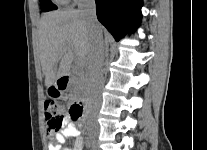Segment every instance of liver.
I'll list each match as a JSON object with an SVG mask.
<instances>
[{
	"mask_svg": "<svg viewBox=\"0 0 207 150\" xmlns=\"http://www.w3.org/2000/svg\"><path fill=\"white\" fill-rule=\"evenodd\" d=\"M102 34V26L99 25ZM39 49L45 85L69 74L72 62L88 64L92 32L79 10H60L43 15L39 24Z\"/></svg>",
	"mask_w": 207,
	"mask_h": 150,
	"instance_id": "liver-1",
	"label": "liver"
}]
</instances>
